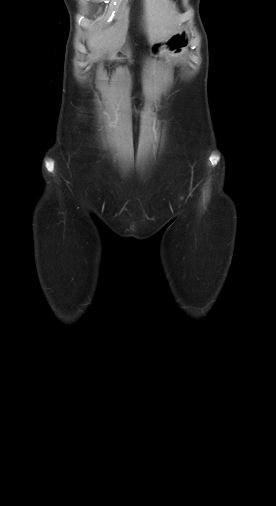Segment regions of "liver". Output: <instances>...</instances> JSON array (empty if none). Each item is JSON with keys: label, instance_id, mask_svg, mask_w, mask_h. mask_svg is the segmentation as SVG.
<instances>
[{"label": "liver", "instance_id": "1", "mask_svg": "<svg viewBox=\"0 0 276 506\" xmlns=\"http://www.w3.org/2000/svg\"><path fill=\"white\" fill-rule=\"evenodd\" d=\"M145 23L151 43L168 39L179 31L181 21L176 16L171 0H145ZM127 27L122 23L112 26L100 25L90 31L87 45L102 57L108 51L119 49L124 41Z\"/></svg>", "mask_w": 276, "mask_h": 506}]
</instances>
